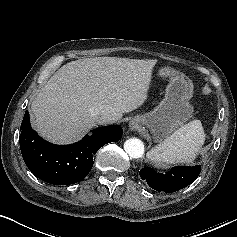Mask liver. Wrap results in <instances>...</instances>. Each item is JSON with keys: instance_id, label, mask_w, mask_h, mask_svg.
Segmentation results:
<instances>
[{"instance_id": "obj_1", "label": "liver", "mask_w": 237, "mask_h": 237, "mask_svg": "<svg viewBox=\"0 0 237 237\" xmlns=\"http://www.w3.org/2000/svg\"><path fill=\"white\" fill-rule=\"evenodd\" d=\"M157 60L95 57L62 66L32 102L33 126L45 139L71 143L96 126L144 104Z\"/></svg>"}]
</instances>
